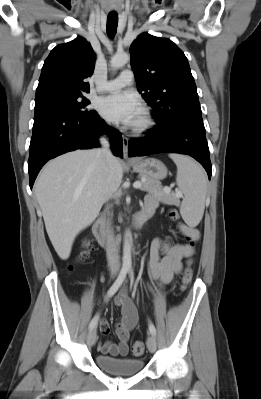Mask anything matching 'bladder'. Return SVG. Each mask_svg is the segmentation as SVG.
<instances>
[{
  "label": "bladder",
  "mask_w": 261,
  "mask_h": 399,
  "mask_svg": "<svg viewBox=\"0 0 261 399\" xmlns=\"http://www.w3.org/2000/svg\"><path fill=\"white\" fill-rule=\"evenodd\" d=\"M95 363L103 371L115 375H134L143 368V361L140 359L114 358L104 355H96Z\"/></svg>",
  "instance_id": "31cf9c89"
}]
</instances>
